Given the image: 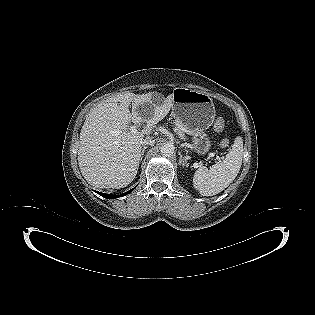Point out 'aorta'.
<instances>
[{"label": "aorta", "mask_w": 315, "mask_h": 315, "mask_svg": "<svg viewBox=\"0 0 315 315\" xmlns=\"http://www.w3.org/2000/svg\"><path fill=\"white\" fill-rule=\"evenodd\" d=\"M174 149V145L168 143L161 147L160 152L163 156H171L174 153Z\"/></svg>", "instance_id": "1"}]
</instances>
